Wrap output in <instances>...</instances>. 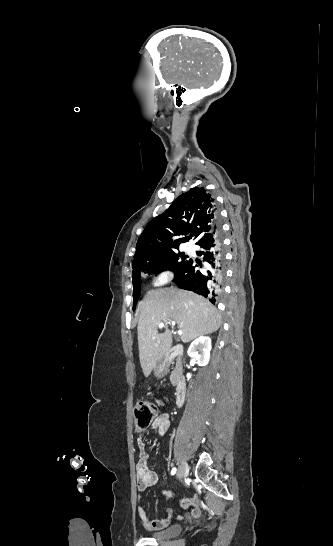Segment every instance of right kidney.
I'll use <instances>...</instances> for the list:
<instances>
[{
	"label": "right kidney",
	"instance_id": "ca27d5eb",
	"mask_svg": "<svg viewBox=\"0 0 333 546\" xmlns=\"http://www.w3.org/2000/svg\"><path fill=\"white\" fill-rule=\"evenodd\" d=\"M210 350L211 338L202 336L191 343L187 353L199 366H206L210 359Z\"/></svg>",
	"mask_w": 333,
	"mask_h": 546
}]
</instances>
